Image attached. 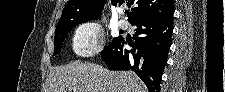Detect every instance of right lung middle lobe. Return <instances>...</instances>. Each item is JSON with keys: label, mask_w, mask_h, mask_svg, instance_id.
<instances>
[{"label": "right lung middle lobe", "mask_w": 225, "mask_h": 92, "mask_svg": "<svg viewBox=\"0 0 225 92\" xmlns=\"http://www.w3.org/2000/svg\"><path fill=\"white\" fill-rule=\"evenodd\" d=\"M83 22H86V21L82 20V21L74 22L70 25L56 27L55 37H54V44H55L54 55L58 54L61 51L63 41L66 38V36L68 35V33L72 30V28ZM117 39L118 38H114L113 41H115Z\"/></svg>", "instance_id": "1"}]
</instances>
